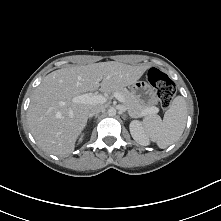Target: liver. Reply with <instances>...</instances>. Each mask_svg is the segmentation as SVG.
<instances>
[{
    "mask_svg": "<svg viewBox=\"0 0 221 221\" xmlns=\"http://www.w3.org/2000/svg\"><path fill=\"white\" fill-rule=\"evenodd\" d=\"M147 68L110 61L62 68L48 74L36 88L27 113L38 145L48 153L69 156L86 126L88 113L102 106L76 103L74 98L99 87L107 92L132 85Z\"/></svg>",
    "mask_w": 221,
    "mask_h": 221,
    "instance_id": "1",
    "label": "liver"
}]
</instances>
